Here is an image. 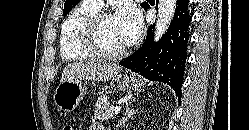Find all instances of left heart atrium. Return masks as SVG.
<instances>
[{"mask_svg": "<svg viewBox=\"0 0 249 130\" xmlns=\"http://www.w3.org/2000/svg\"><path fill=\"white\" fill-rule=\"evenodd\" d=\"M115 20L121 29L125 43L130 45L140 36L143 28L142 15L131 2H123L117 8Z\"/></svg>", "mask_w": 249, "mask_h": 130, "instance_id": "1", "label": "left heart atrium"}]
</instances>
